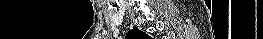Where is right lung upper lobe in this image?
I'll return each mask as SVG.
<instances>
[{"label": "right lung upper lobe", "instance_id": "cb5924a9", "mask_svg": "<svg viewBox=\"0 0 263 39\" xmlns=\"http://www.w3.org/2000/svg\"><path fill=\"white\" fill-rule=\"evenodd\" d=\"M127 35H129L130 39H149L150 38L146 33L140 31L137 28H133V30H131Z\"/></svg>", "mask_w": 263, "mask_h": 39}]
</instances>
